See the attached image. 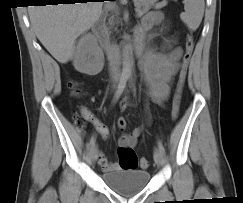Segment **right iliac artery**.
<instances>
[{
    "mask_svg": "<svg viewBox=\"0 0 243 203\" xmlns=\"http://www.w3.org/2000/svg\"><path fill=\"white\" fill-rule=\"evenodd\" d=\"M127 77L122 76L118 85V88L114 94L112 104L116 103L118 99L120 98L121 94L123 93L125 87H126ZM96 138L93 136L90 140V147H93L95 145Z\"/></svg>",
    "mask_w": 243,
    "mask_h": 203,
    "instance_id": "82829eb1",
    "label": "right iliac artery"
}]
</instances>
